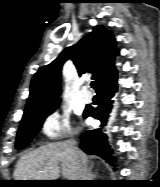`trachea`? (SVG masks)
<instances>
[{"instance_id": "trachea-1", "label": "trachea", "mask_w": 160, "mask_h": 187, "mask_svg": "<svg viewBox=\"0 0 160 187\" xmlns=\"http://www.w3.org/2000/svg\"><path fill=\"white\" fill-rule=\"evenodd\" d=\"M91 87H92V88L94 87V82L91 83Z\"/></svg>"}]
</instances>
